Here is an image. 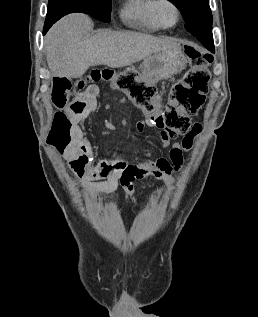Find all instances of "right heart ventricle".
Listing matches in <instances>:
<instances>
[{
  "mask_svg": "<svg viewBox=\"0 0 258 317\" xmlns=\"http://www.w3.org/2000/svg\"><path fill=\"white\" fill-rule=\"evenodd\" d=\"M158 0H127L120 10L121 20L146 32L154 33L161 29L154 18Z\"/></svg>",
  "mask_w": 258,
  "mask_h": 317,
  "instance_id": "1",
  "label": "right heart ventricle"
}]
</instances>
